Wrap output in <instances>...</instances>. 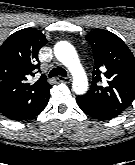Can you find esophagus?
Listing matches in <instances>:
<instances>
[{
  "label": "esophagus",
  "mask_w": 135,
  "mask_h": 165,
  "mask_svg": "<svg viewBox=\"0 0 135 165\" xmlns=\"http://www.w3.org/2000/svg\"><path fill=\"white\" fill-rule=\"evenodd\" d=\"M57 79L61 82H65V83H70L71 82V77L58 76Z\"/></svg>",
  "instance_id": "obj_1"
}]
</instances>
